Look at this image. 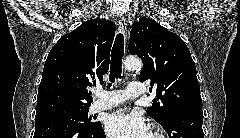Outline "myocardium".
<instances>
[{
  "mask_svg": "<svg viewBox=\"0 0 240 138\" xmlns=\"http://www.w3.org/2000/svg\"><path fill=\"white\" fill-rule=\"evenodd\" d=\"M152 134L155 136V138H166L165 134L158 130H154Z\"/></svg>",
  "mask_w": 240,
  "mask_h": 138,
  "instance_id": "myocardium-1",
  "label": "myocardium"
}]
</instances>
